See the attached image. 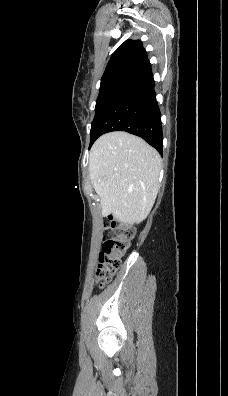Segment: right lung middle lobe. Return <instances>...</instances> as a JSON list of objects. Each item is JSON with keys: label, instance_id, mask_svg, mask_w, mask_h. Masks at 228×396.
<instances>
[{"label": "right lung middle lobe", "instance_id": "right-lung-middle-lobe-1", "mask_svg": "<svg viewBox=\"0 0 228 396\" xmlns=\"http://www.w3.org/2000/svg\"><path fill=\"white\" fill-rule=\"evenodd\" d=\"M126 87L122 84H111L100 87V92L96 101L95 117L91 124V138L95 134V125L98 119L101 117L104 110L114 100V98Z\"/></svg>", "mask_w": 228, "mask_h": 396}]
</instances>
